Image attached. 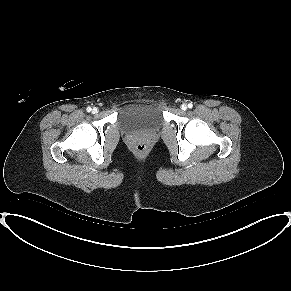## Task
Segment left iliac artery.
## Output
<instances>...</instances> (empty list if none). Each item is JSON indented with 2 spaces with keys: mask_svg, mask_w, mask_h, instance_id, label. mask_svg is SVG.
<instances>
[{
  "mask_svg": "<svg viewBox=\"0 0 291 291\" xmlns=\"http://www.w3.org/2000/svg\"><path fill=\"white\" fill-rule=\"evenodd\" d=\"M188 107H189V108H192V107H193V104H192V103H189V104H188Z\"/></svg>",
  "mask_w": 291,
  "mask_h": 291,
  "instance_id": "1",
  "label": "left iliac artery"
}]
</instances>
